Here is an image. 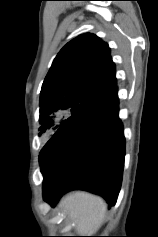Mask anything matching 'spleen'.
Returning <instances> with one entry per match:
<instances>
[{
	"label": "spleen",
	"instance_id": "obj_1",
	"mask_svg": "<svg viewBox=\"0 0 158 237\" xmlns=\"http://www.w3.org/2000/svg\"><path fill=\"white\" fill-rule=\"evenodd\" d=\"M63 206L76 221L77 231L81 235L99 227L107 211V205L102 198L86 192H75L64 201Z\"/></svg>",
	"mask_w": 158,
	"mask_h": 237
}]
</instances>
